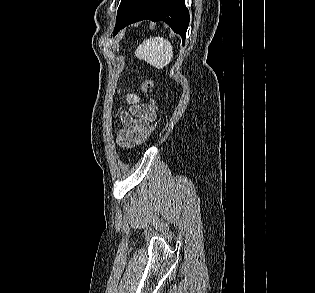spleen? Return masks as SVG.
Instances as JSON below:
<instances>
[{
	"instance_id": "3e777b00",
	"label": "spleen",
	"mask_w": 315,
	"mask_h": 293,
	"mask_svg": "<svg viewBox=\"0 0 315 293\" xmlns=\"http://www.w3.org/2000/svg\"><path fill=\"white\" fill-rule=\"evenodd\" d=\"M137 58L145 60L150 65L163 69L173 57V47L171 43L162 37L149 38L136 49Z\"/></svg>"
}]
</instances>
